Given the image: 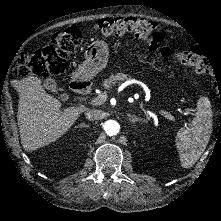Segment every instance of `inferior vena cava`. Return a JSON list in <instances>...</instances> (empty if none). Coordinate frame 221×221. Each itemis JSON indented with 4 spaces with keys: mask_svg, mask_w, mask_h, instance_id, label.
Listing matches in <instances>:
<instances>
[{
    "mask_svg": "<svg viewBox=\"0 0 221 221\" xmlns=\"http://www.w3.org/2000/svg\"><path fill=\"white\" fill-rule=\"evenodd\" d=\"M105 116V113L99 109H89L85 112L86 119L90 121L102 120Z\"/></svg>",
    "mask_w": 221,
    "mask_h": 221,
    "instance_id": "602c4592",
    "label": "inferior vena cava"
}]
</instances>
